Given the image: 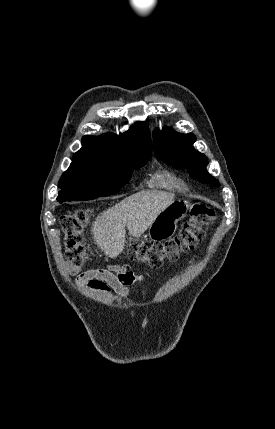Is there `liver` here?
Listing matches in <instances>:
<instances>
[{
    "label": "liver",
    "mask_w": 275,
    "mask_h": 429,
    "mask_svg": "<svg viewBox=\"0 0 275 429\" xmlns=\"http://www.w3.org/2000/svg\"><path fill=\"white\" fill-rule=\"evenodd\" d=\"M175 195L162 191L133 194L101 213L92 227L98 247L111 258L124 249L127 226L130 235L140 237L158 214L174 201Z\"/></svg>",
    "instance_id": "obj_1"
}]
</instances>
